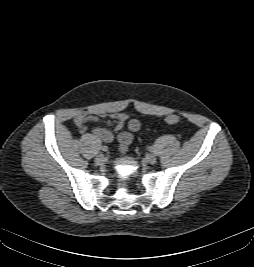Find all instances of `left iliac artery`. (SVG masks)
<instances>
[{
    "mask_svg": "<svg viewBox=\"0 0 254 267\" xmlns=\"http://www.w3.org/2000/svg\"><path fill=\"white\" fill-rule=\"evenodd\" d=\"M149 151L153 152L154 148L152 146L149 147Z\"/></svg>",
    "mask_w": 254,
    "mask_h": 267,
    "instance_id": "1",
    "label": "left iliac artery"
}]
</instances>
